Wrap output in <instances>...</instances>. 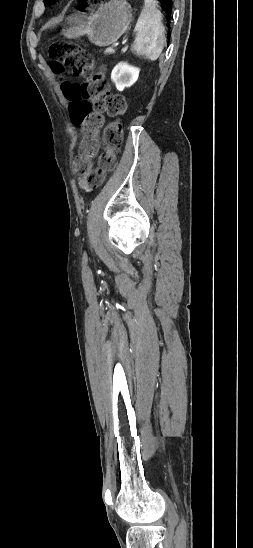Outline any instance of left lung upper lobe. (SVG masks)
Here are the masks:
<instances>
[{
	"label": "left lung upper lobe",
	"mask_w": 253,
	"mask_h": 548,
	"mask_svg": "<svg viewBox=\"0 0 253 548\" xmlns=\"http://www.w3.org/2000/svg\"><path fill=\"white\" fill-rule=\"evenodd\" d=\"M58 0H44V4L45 6H48V5H52L54 4L55 2H57Z\"/></svg>",
	"instance_id": "left-lung-upper-lobe-1"
}]
</instances>
